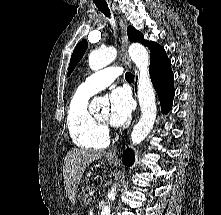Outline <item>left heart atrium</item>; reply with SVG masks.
Segmentation results:
<instances>
[{
	"mask_svg": "<svg viewBox=\"0 0 221 215\" xmlns=\"http://www.w3.org/2000/svg\"><path fill=\"white\" fill-rule=\"evenodd\" d=\"M132 113V101L123 88H116L110 95V124L119 127L125 124Z\"/></svg>",
	"mask_w": 221,
	"mask_h": 215,
	"instance_id": "39dd6f15",
	"label": "left heart atrium"
}]
</instances>
